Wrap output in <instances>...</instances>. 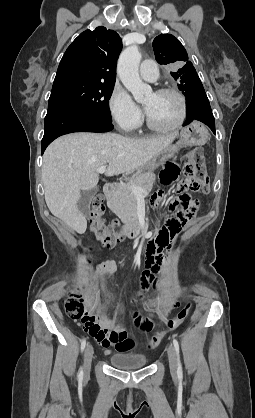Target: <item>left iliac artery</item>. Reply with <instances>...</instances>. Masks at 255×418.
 I'll list each match as a JSON object with an SVG mask.
<instances>
[{"instance_id": "obj_1", "label": "left iliac artery", "mask_w": 255, "mask_h": 418, "mask_svg": "<svg viewBox=\"0 0 255 418\" xmlns=\"http://www.w3.org/2000/svg\"><path fill=\"white\" fill-rule=\"evenodd\" d=\"M173 345L177 354V374L179 377H182V366H181L180 356H179V343L176 339H173Z\"/></svg>"}]
</instances>
